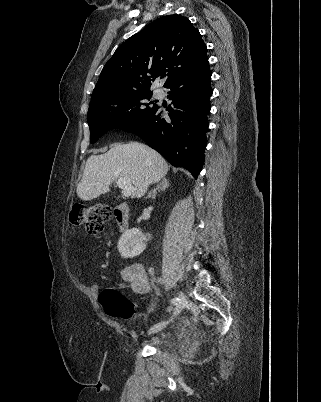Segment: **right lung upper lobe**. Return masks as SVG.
<instances>
[{"label":"right lung upper lobe","instance_id":"right-lung-upper-lobe-1","mask_svg":"<svg viewBox=\"0 0 321 402\" xmlns=\"http://www.w3.org/2000/svg\"><path fill=\"white\" fill-rule=\"evenodd\" d=\"M207 48L190 20L180 15L156 19L131 36L101 71L90 107L131 93L150 91L158 76L164 87L209 64Z\"/></svg>","mask_w":321,"mask_h":402}]
</instances>
